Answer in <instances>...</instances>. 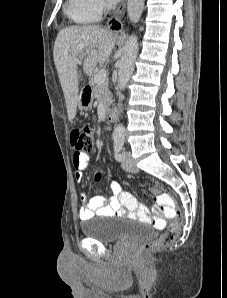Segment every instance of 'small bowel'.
<instances>
[{"label":"small bowel","mask_w":227,"mask_h":298,"mask_svg":"<svg viewBox=\"0 0 227 298\" xmlns=\"http://www.w3.org/2000/svg\"><path fill=\"white\" fill-rule=\"evenodd\" d=\"M89 164V156L86 150H75L73 155V165L75 169V179L81 182L85 170ZM112 196L105 199L102 196L88 198L81 194V206L79 216L82 220H88L95 216H130L135 218H146L148 209L139 205L134 197L123 191L121 184L112 180L110 183ZM159 202V199H157ZM157 208H154L156 211Z\"/></svg>","instance_id":"1"}]
</instances>
